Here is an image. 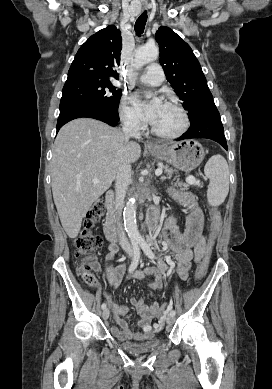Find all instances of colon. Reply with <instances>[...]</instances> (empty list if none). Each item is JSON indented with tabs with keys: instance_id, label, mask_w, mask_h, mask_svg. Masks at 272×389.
I'll use <instances>...</instances> for the list:
<instances>
[{
	"instance_id": "colon-1",
	"label": "colon",
	"mask_w": 272,
	"mask_h": 389,
	"mask_svg": "<svg viewBox=\"0 0 272 389\" xmlns=\"http://www.w3.org/2000/svg\"><path fill=\"white\" fill-rule=\"evenodd\" d=\"M104 212L105 204L103 201L95 202L87 212L83 222V228L75 239V256L78 259V274L83 281L89 285H94L96 283V278L92 272V263L95 261L94 255L98 253L103 246L101 237L95 234L93 229L96 222L103 217ZM220 224L221 214L219 210L213 209L211 211V230L207 240L205 255L196 274L198 280L202 279L207 273L211 251ZM169 308V304H162L158 310L159 318H163Z\"/></svg>"
}]
</instances>
